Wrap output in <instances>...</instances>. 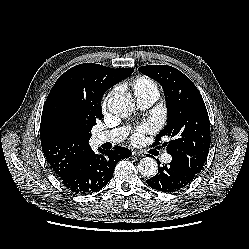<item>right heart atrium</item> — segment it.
Segmentation results:
<instances>
[{
  "instance_id": "d8ad5b80",
  "label": "right heart atrium",
  "mask_w": 249,
  "mask_h": 249,
  "mask_svg": "<svg viewBox=\"0 0 249 249\" xmlns=\"http://www.w3.org/2000/svg\"><path fill=\"white\" fill-rule=\"evenodd\" d=\"M113 91L109 92L103 99L102 101V110L105 111L106 110V107H107V101L108 99L111 97Z\"/></svg>"
}]
</instances>
